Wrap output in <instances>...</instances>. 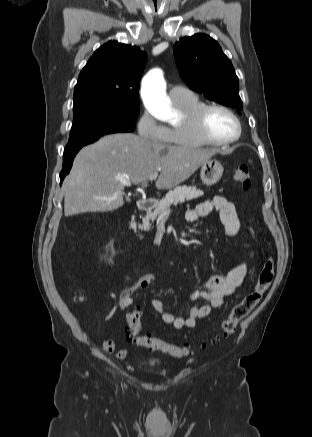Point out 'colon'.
<instances>
[{"mask_svg": "<svg viewBox=\"0 0 312 437\" xmlns=\"http://www.w3.org/2000/svg\"><path fill=\"white\" fill-rule=\"evenodd\" d=\"M233 180L244 190H248L251 186L249 168L246 165L236 167L233 172ZM273 276L274 261L271 257H268L259 272L254 289L246 294L243 299L233 307L229 316L223 321L222 329L224 337L231 335L237 324L254 310L260 302L263 293L270 286ZM126 319L128 322L129 336L134 344L171 357H184L190 353L188 346L169 344L159 338L142 334V318L139 310L129 311Z\"/></svg>", "mask_w": 312, "mask_h": 437, "instance_id": "5ec220e1", "label": "colon"}]
</instances>
